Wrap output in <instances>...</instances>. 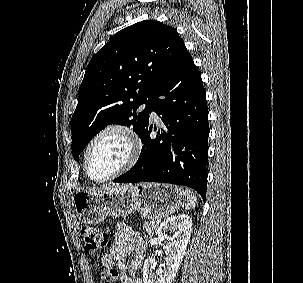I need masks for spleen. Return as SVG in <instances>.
<instances>
[{
	"instance_id": "1",
	"label": "spleen",
	"mask_w": 303,
	"mask_h": 283,
	"mask_svg": "<svg viewBox=\"0 0 303 283\" xmlns=\"http://www.w3.org/2000/svg\"><path fill=\"white\" fill-rule=\"evenodd\" d=\"M184 196L186 198L185 209L190 210L195 208L197 203V198L195 194L190 189H185Z\"/></svg>"
}]
</instances>
